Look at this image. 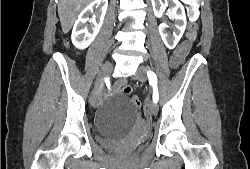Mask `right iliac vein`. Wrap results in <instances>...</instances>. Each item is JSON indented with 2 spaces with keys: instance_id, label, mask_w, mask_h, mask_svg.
<instances>
[{
  "instance_id": "1",
  "label": "right iliac vein",
  "mask_w": 250,
  "mask_h": 169,
  "mask_svg": "<svg viewBox=\"0 0 250 169\" xmlns=\"http://www.w3.org/2000/svg\"><path fill=\"white\" fill-rule=\"evenodd\" d=\"M111 69H112V64H106L101 68L100 72L97 75L95 87L90 99L93 108H96L99 104V97H100L99 88L105 77L108 76L109 70Z\"/></svg>"
}]
</instances>
